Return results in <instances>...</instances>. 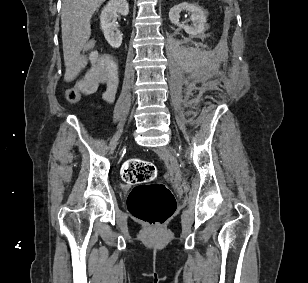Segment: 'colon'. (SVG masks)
<instances>
[{
  "label": "colon",
  "mask_w": 308,
  "mask_h": 283,
  "mask_svg": "<svg viewBox=\"0 0 308 283\" xmlns=\"http://www.w3.org/2000/svg\"><path fill=\"white\" fill-rule=\"evenodd\" d=\"M96 40L89 39L83 53L88 55L95 51ZM85 93L78 81L75 86L66 90V99L70 103L80 100ZM123 181L134 185L128 199L127 206L130 213L138 220L151 226L165 224L176 207V201L171 190L162 183H151L156 176V167L153 163L142 159H129L121 169Z\"/></svg>",
  "instance_id": "colon-1"
}]
</instances>
